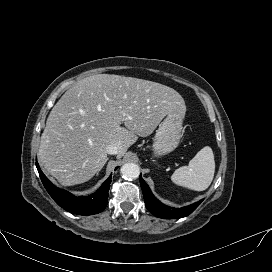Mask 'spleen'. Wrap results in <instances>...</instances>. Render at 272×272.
Wrapping results in <instances>:
<instances>
[{"mask_svg": "<svg viewBox=\"0 0 272 272\" xmlns=\"http://www.w3.org/2000/svg\"><path fill=\"white\" fill-rule=\"evenodd\" d=\"M214 172L213 151L209 146H205L190 160L188 166L176 169L171 180L176 185L194 191H204L210 186Z\"/></svg>", "mask_w": 272, "mask_h": 272, "instance_id": "1", "label": "spleen"}]
</instances>
